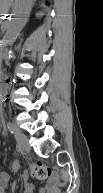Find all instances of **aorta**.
Wrapping results in <instances>:
<instances>
[{"mask_svg":"<svg viewBox=\"0 0 103 193\" xmlns=\"http://www.w3.org/2000/svg\"><path fill=\"white\" fill-rule=\"evenodd\" d=\"M33 0H16L13 8L12 17L9 20L7 30L5 33V42L11 46L19 36L25 22L27 15L31 10Z\"/></svg>","mask_w":103,"mask_h":193,"instance_id":"1","label":"aorta"}]
</instances>
